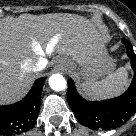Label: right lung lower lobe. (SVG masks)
Returning a JSON list of instances; mask_svg holds the SVG:
<instances>
[{"mask_svg": "<svg viewBox=\"0 0 136 136\" xmlns=\"http://www.w3.org/2000/svg\"><path fill=\"white\" fill-rule=\"evenodd\" d=\"M45 78H39L29 93L19 102L0 106V135H17L35 124Z\"/></svg>", "mask_w": 136, "mask_h": 136, "instance_id": "obj_1", "label": "right lung lower lobe"}]
</instances>
